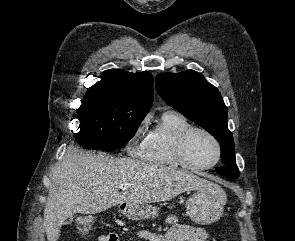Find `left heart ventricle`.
<instances>
[{
	"label": "left heart ventricle",
	"instance_id": "left-heart-ventricle-1",
	"mask_svg": "<svg viewBox=\"0 0 295 241\" xmlns=\"http://www.w3.org/2000/svg\"><path fill=\"white\" fill-rule=\"evenodd\" d=\"M185 156L194 165L207 166L215 161L217 149L207 135L195 132L186 144Z\"/></svg>",
	"mask_w": 295,
	"mask_h": 241
}]
</instances>
